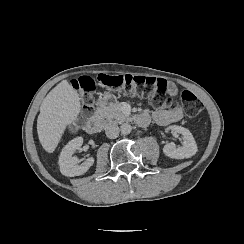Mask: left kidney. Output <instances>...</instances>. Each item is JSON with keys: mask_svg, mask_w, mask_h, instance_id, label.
Wrapping results in <instances>:
<instances>
[{"mask_svg": "<svg viewBox=\"0 0 244 244\" xmlns=\"http://www.w3.org/2000/svg\"><path fill=\"white\" fill-rule=\"evenodd\" d=\"M183 135L182 146L176 147L175 143L171 142L164 146L163 152L166 156L175 159L190 158L197 152V144L192 133L182 126L171 125L166 128V131Z\"/></svg>", "mask_w": 244, "mask_h": 244, "instance_id": "5707ae66", "label": "left kidney"}]
</instances>
